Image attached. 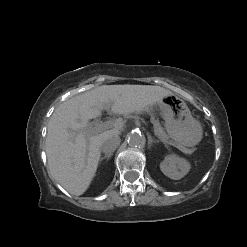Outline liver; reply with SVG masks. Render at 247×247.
Returning <instances> with one entry per match:
<instances>
[{"mask_svg":"<svg viewBox=\"0 0 247 247\" xmlns=\"http://www.w3.org/2000/svg\"><path fill=\"white\" fill-rule=\"evenodd\" d=\"M172 92L152 85H102L59 105L48 123L46 154L50 175L70 194L82 195L91 184L99 164L102 141L119 136L124 124L97 133L89 120L103 109L128 115L159 103Z\"/></svg>","mask_w":247,"mask_h":247,"instance_id":"obj_1","label":"liver"}]
</instances>
